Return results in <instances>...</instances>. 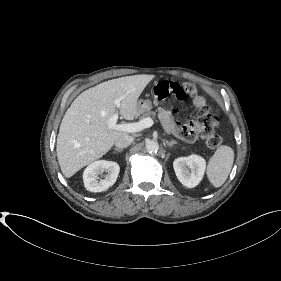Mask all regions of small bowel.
I'll use <instances>...</instances> for the list:
<instances>
[{
    "label": "small bowel",
    "instance_id": "c3829d8e",
    "mask_svg": "<svg viewBox=\"0 0 281 281\" xmlns=\"http://www.w3.org/2000/svg\"><path fill=\"white\" fill-rule=\"evenodd\" d=\"M193 105L198 109L205 108L206 99L202 95H196L193 98ZM158 111L159 118L169 133L187 141L195 140L200 135L201 127L199 122L189 120L184 123H178L174 121L169 110L159 107Z\"/></svg>",
    "mask_w": 281,
    "mask_h": 281
}]
</instances>
